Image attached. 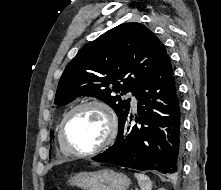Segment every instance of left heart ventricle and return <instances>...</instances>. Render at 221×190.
<instances>
[{
    "label": "left heart ventricle",
    "mask_w": 221,
    "mask_h": 190,
    "mask_svg": "<svg viewBox=\"0 0 221 190\" xmlns=\"http://www.w3.org/2000/svg\"><path fill=\"white\" fill-rule=\"evenodd\" d=\"M108 120L103 110L84 107L74 112L67 121L65 136L78 150H89L106 137Z\"/></svg>",
    "instance_id": "1"
}]
</instances>
